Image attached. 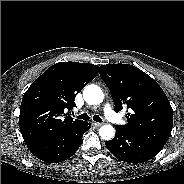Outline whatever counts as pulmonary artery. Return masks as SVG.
Instances as JSON below:
<instances>
[{"mask_svg": "<svg viewBox=\"0 0 184 184\" xmlns=\"http://www.w3.org/2000/svg\"><path fill=\"white\" fill-rule=\"evenodd\" d=\"M103 113L105 115V117L113 122V123H120L121 122V118L115 113V111L113 110L112 106L109 103H106L103 106Z\"/></svg>", "mask_w": 184, "mask_h": 184, "instance_id": "obj_1", "label": "pulmonary artery"}]
</instances>
